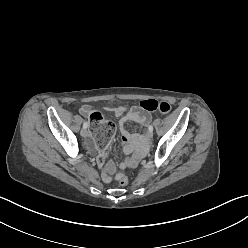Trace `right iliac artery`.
I'll return each instance as SVG.
<instances>
[{
	"label": "right iliac artery",
	"instance_id": "right-iliac-artery-1",
	"mask_svg": "<svg viewBox=\"0 0 248 248\" xmlns=\"http://www.w3.org/2000/svg\"><path fill=\"white\" fill-rule=\"evenodd\" d=\"M88 127V122H85L84 124H83V128H87Z\"/></svg>",
	"mask_w": 248,
	"mask_h": 248
}]
</instances>
